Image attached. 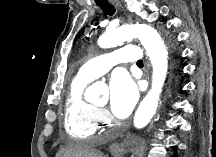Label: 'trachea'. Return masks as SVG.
<instances>
[{"label": "trachea", "instance_id": "trachea-1", "mask_svg": "<svg viewBox=\"0 0 216 157\" xmlns=\"http://www.w3.org/2000/svg\"><path fill=\"white\" fill-rule=\"evenodd\" d=\"M105 14L107 15H113L115 13V7L113 5H111L107 0L101 1V2H97L96 3ZM137 65H143V61L139 60L137 61Z\"/></svg>", "mask_w": 216, "mask_h": 157}]
</instances>
